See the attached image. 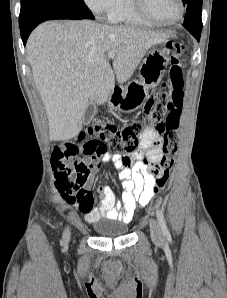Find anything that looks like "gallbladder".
Instances as JSON below:
<instances>
[{"mask_svg":"<svg viewBox=\"0 0 227 298\" xmlns=\"http://www.w3.org/2000/svg\"><path fill=\"white\" fill-rule=\"evenodd\" d=\"M96 111L97 110L95 104L93 102H89L83 116V123L89 124L96 115Z\"/></svg>","mask_w":227,"mask_h":298,"instance_id":"obj_1","label":"gallbladder"}]
</instances>
